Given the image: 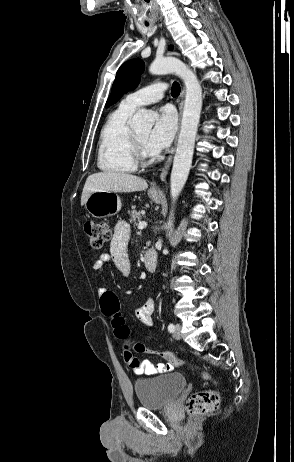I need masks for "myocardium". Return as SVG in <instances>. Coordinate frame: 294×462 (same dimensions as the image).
I'll use <instances>...</instances> for the list:
<instances>
[{
	"label": "myocardium",
	"instance_id": "f54148a6",
	"mask_svg": "<svg viewBox=\"0 0 294 462\" xmlns=\"http://www.w3.org/2000/svg\"><path fill=\"white\" fill-rule=\"evenodd\" d=\"M133 158L136 165L146 166L152 162L154 155L150 153L138 139L135 132L131 133Z\"/></svg>",
	"mask_w": 294,
	"mask_h": 462
}]
</instances>
